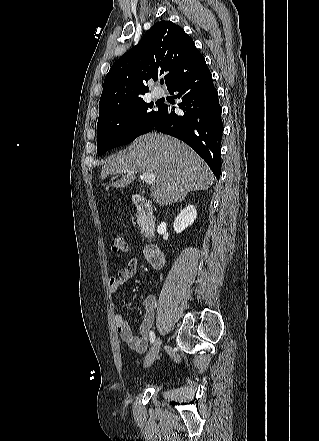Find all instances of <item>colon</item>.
<instances>
[{"label": "colon", "mask_w": 319, "mask_h": 441, "mask_svg": "<svg viewBox=\"0 0 319 441\" xmlns=\"http://www.w3.org/2000/svg\"><path fill=\"white\" fill-rule=\"evenodd\" d=\"M127 249V244L121 234H114L112 237L111 250L114 253H122Z\"/></svg>", "instance_id": "5ec220e1"}]
</instances>
